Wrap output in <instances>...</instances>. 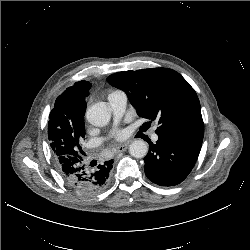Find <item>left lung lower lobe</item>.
<instances>
[{"instance_id": "0a47b994", "label": "left lung lower lobe", "mask_w": 250, "mask_h": 250, "mask_svg": "<svg viewBox=\"0 0 250 250\" xmlns=\"http://www.w3.org/2000/svg\"><path fill=\"white\" fill-rule=\"evenodd\" d=\"M202 141L198 137L159 136L156 144L149 142L144 157L147 178L160 186L181 183L193 169Z\"/></svg>"}]
</instances>
